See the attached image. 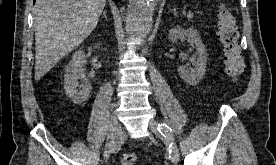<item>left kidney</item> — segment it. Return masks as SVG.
<instances>
[{"instance_id": "obj_1", "label": "left kidney", "mask_w": 276, "mask_h": 165, "mask_svg": "<svg viewBox=\"0 0 276 165\" xmlns=\"http://www.w3.org/2000/svg\"><path fill=\"white\" fill-rule=\"evenodd\" d=\"M187 37L190 43L196 45L198 59L192 62L193 68L188 65H182L178 68L180 77L189 85H196L204 77L207 65V53L204 44L202 43L201 36L196 29L188 28L182 29L181 27L173 28L169 32V40L176 43L179 39Z\"/></svg>"}]
</instances>
